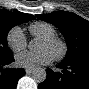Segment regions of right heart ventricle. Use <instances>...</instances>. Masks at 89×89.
Returning a JSON list of instances; mask_svg holds the SVG:
<instances>
[{
	"label": "right heart ventricle",
	"instance_id": "right-heart-ventricle-1",
	"mask_svg": "<svg viewBox=\"0 0 89 89\" xmlns=\"http://www.w3.org/2000/svg\"><path fill=\"white\" fill-rule=\"evenodd\" d=\"M30 33L37 38L54 36L55 28L47 22H34L29 26Z\"/></svg>",
	"mask_w": 89,
	"mask_h": 89
}]
</instances>
